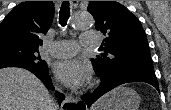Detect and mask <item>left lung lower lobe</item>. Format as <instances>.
<instances>
[{
	"instance_id": "left-lung-lower-lobe-1",
	"label": "left lung lower lobe",
	"mask_w": 171,
	"mask_h": 110,
	"mask_svg": "<svg viewBox=\"0 0 171 110\" xmlns=\"http://www.w3.org/2000/svg\"><path fill=\"white\" fill-rule=\"evenodd\" d=\"M101 78V84L98 88L85 98L83 101L87 107H90L98 98L111 89L129 82H146L154 86L159 92L158 82L154 69L146 68H124L104 75ZM85 106V107H86Z\"/></svg>"
}]
</instances>
